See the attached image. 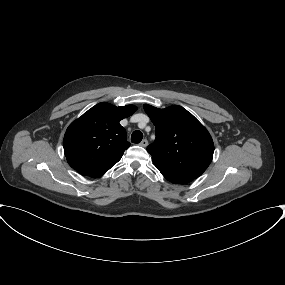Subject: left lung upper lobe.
Returning <instances> with one entry per match:
<instances>
[{
  "mask_svg": "<svg viewBox=\"0 0 285 285\" xmlns=\"http://www.w3.org/2000/svg\"><path fill=\"white\" fill-rule=\"evenodd\" d=\"M155 125V142L147 147L157 169L198 178L209 166L214 144L206 128L186 109H158L145 104Z\"/></svg>",
  "mask_w": 285,
  "mask_h": 285,
  "instance_id": "obj_1",
  "label": "left lung upper lobe"
}]
</instances>
